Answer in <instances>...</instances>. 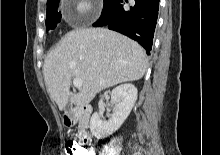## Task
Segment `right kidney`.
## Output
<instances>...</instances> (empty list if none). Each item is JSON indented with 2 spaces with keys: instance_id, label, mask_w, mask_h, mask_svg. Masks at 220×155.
Listing matches in <instances>:
<instances>
[{
  "instance_id": "obj_1",
  "label": "right kidney",
  "mask_w": 220,
  "mask_h": 155,
  "mask_svg": "<svg viewBox=\"0 0 220 155\" xmlns=\"http://www.w3.org/2000/svg\"><path fill=\"white\" fill-rule=\"evenodd\" d=\"M137 89L132 84H123L111 92V102L114 105V114L109 121L102 120V115L95 112L90 120V130L96 138L107 137L124 123L129 116L136 100Z\"/></svg>"
}]
</instances>
